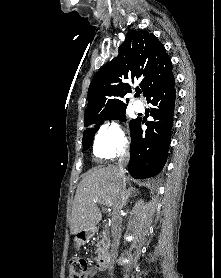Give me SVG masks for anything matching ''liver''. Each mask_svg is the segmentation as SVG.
<instances>
[{"label": "liver", "mask_w": 221, "mask_h": 278, "mask_svg": "<svg viewBox=\"0 0 221 278\" xmlns=\"http://www.w3.org/2000/svg\"><path fill=\"white\" fill-rule=\"evenodd\" d=\"M121 180L122 173L119 168L109 165L96 169L80 181L70 220V230L73 235L82 231L93 230L96 227L102 218L97 203L110 200V206H113ZM123 181L125 184L126 182L130 184V178L126 177L125 174Z\"/></svg>", "instance_id": "1"}]
</instances>
